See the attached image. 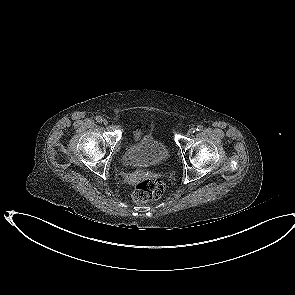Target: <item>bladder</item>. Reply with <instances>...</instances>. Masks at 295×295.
Returning a JSON list of instances; mask_svg holds the SVG:
<instances>
[{
	"label": "bladder",
	"mask_w": 295,
	"mask_h": 295,
	"mask_svg": "<svg viewBox=\"0 0 295 295\" xmlns=\"http://www.w3.org/2000/svg\"><path fill=\"white\" fill-rule=\"evenodd\" d=\"M171 153L168 146L152 135L128 147L121 155L122 162L130 167H149L167 162Z\"/></svg>",
	"instance_id": "31cf9c89"
}]
</instances>
